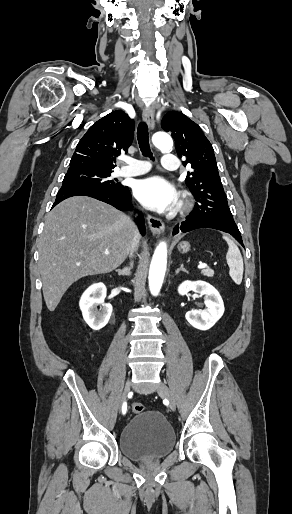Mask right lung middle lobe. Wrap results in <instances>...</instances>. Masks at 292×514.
<instances>
[{
  "label": "right lung middle lobe",
  "instance_id": "right-lung-middle-lobe-1",
  "mask_svg": "<svg viewBox=\"0 0 292 514\" xmlns=\"http://www.w3.org/2000/svg\"><path fill=\"white\" fill-rule=\"evenodd\" d=\"M111 173L112 171L67 172L63 179V185H88L106 189L121 188L123 185L110 178Z\"/></svg>",
  "mask_w": 292,
  "mask_h": 514
}]
</instances>
